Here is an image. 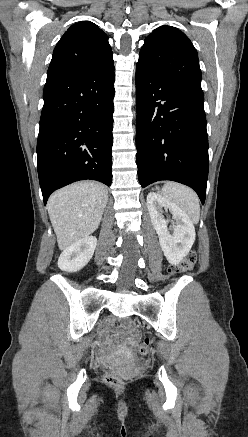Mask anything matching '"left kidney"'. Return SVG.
Listing matches in <instances>:
<instances>
[{
	"label": "left kidney",
	"mask_w": 248,
	"mask_h": 437,
	"mask_svg": "<svg viewBox=\"0 0 248 437\" xmlns=\"http://www.w3.org/2000/svg\"><path fill=\"white\" fill-rule=\"evenodd\" d=\"M147 208L162 251L172 265L180 263L195 241V228L188 215L178 206L155 192L147 195ZM163 208L173 215L172 227L163 217Z\"/></svg>",
	"instance_id": "1"
}]
</instances>
